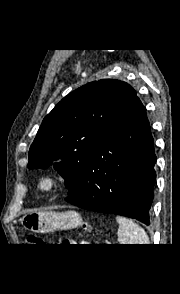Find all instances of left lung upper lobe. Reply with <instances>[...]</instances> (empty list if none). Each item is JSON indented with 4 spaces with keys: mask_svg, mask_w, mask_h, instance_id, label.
Listing matches in <instances>:
<instances>
[{
    "mask_svg": "<svg viewBox=\"0 0 180 294\" xmlns=\"http://www.w3.org/2000/svg\"><path fill=\"white\" fill-rule=\"evenodd\" d=\"M136 98L133 87L115 79L93 81L69 93L43 119L28 168L54 164L68 195L77 193L97 148Z\"/></svg>",
    "mask_w": 180,
    "mask_h": 294,
    "instance_id": "obj_1",
    "label": "left lung upper lobe"
}]
</instances>
